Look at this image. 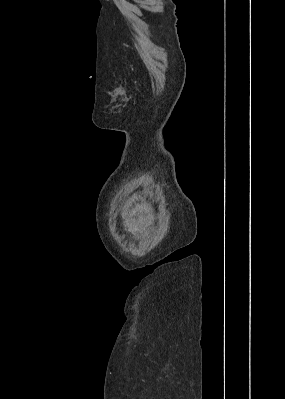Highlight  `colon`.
<instances>
[{"mask_svg": "<svg viewBox=\"0 0 285 399\" xmlns=\"http://www.w3.org/2000/svg\"><path fill=\"white\" fill-rule=\"evenodd\" d=\"M146 223V219L142 216L132 218L128 221H126L124 227L129 230H137L143 226V224Z\"/></svg>", "mask_w": 285, "mask_h": 399, "instance_id": "colon-1", "label": "colon"}]
</instances>
